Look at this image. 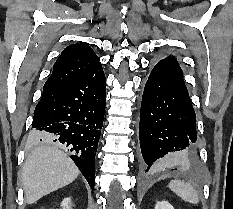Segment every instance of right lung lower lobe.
Listing matches in <instances>:
<instances>
[{
    "instance_id": "obj_1",
    "label": "right lung lower lobe",
    "mask_w": 233,
    "mask_h": 209,
    "mask_svg": "<svg viewBox=\"0 0 233 209\" xmlns=\"http://www.w3.org/2000/svg\"><path fill=\"white\" fill-rule=\"evenodd\" d=\"M106 80L101 64L82 77L43 92L33 118V128L52 133L72 152L71 159L94 190V160L103 125Z\"/></svg>"
}]
</instances>
